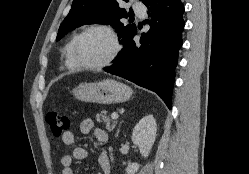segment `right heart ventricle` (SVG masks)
<instances>
[{"label":"right heart ventricle","mask_w":249,"mask_h":174,"mask_svg":"<svg viewBox=\"0 0 249 174\" xmlns=\"http://www.w3.org/2000/svg\"><path fill=\"white\" fill-rule=\"evenodd\" d=\"M78 35L75 34L71 40L68 42L66 48H65V65L68 69L70 70H76L79 67L77 66V64L74 61L73 55H72V47H73V43L76 39Z\"/></svg>","instance_id":"1"}]
</instances>
